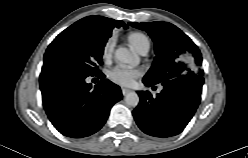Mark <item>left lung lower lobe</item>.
I'll return each instance as SVG.
<instances>
[{
    "label": "left lung lower lobe",
    "instance_id": "1",
    "mask_svg": "<svg viewBox=\"0 0 248 158\" xmlns=\"http://www.w3.org/2000/svg\"><path fill=\"white\" fill-rule=\"evenodd\" d=\"M143 82L148 87L155 85L146 79ZM203 83L202 76L183 75L166 82L155 98L149 91H138L140 103L133 116L139 128L163 138L182 132L200 103Z\"/></svg>",
    "mask_w": 248,
    "mask_h": 158
}]
</instances>
